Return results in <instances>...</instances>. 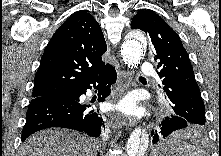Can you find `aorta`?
Masks as SVG:
<instances>
[{"label":"aorta","mask_w":221,"mask_h":156,"mask_svg":"<svg viewBox=\"0 0 221 156\" xmlns=\"http://www.w3.org/2000/svg\"><path fill=\"white\" fill-rule=\"evenodd\" d=\"M146 38L139 31L130 32L122 44L121 55L125 64L134 68L140 63L144 53ZM149 137L141 128H136L130 134L127 144V156H142L148 148Z\"/></svg>","instance_id":"aorta-1"}]
</instances>
